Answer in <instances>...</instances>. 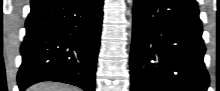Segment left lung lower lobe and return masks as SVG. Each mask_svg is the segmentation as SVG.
<instances>
[{
	"mask_svg": "<svg viewBox=\"0 0 220 91\" xmlns=\"http://www.w3.org/2000/svg\"><path fill=\"white\" fill-rule=\"evenodd\" d=\"M196 0H134L131 91H207Z\"/></svg>",
	"mask_w": 220,
	"mask_h": 91,
	"instance_id": "1",
	"label": "left lung lower lobe"
}]
</instances>
